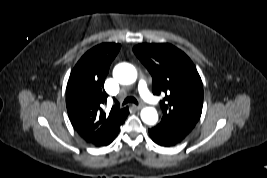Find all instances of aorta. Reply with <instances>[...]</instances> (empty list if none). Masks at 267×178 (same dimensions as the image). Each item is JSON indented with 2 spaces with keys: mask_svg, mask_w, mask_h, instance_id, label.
<instances>
[{
  "mask_svg": "<svg viewBox=\"0 0 267 178\" xmlns=\"http://www.w3.org/2000/svg\"><path fill=\"white\" fill-rule=\"evenodd\" d=\"M114 78L121 84L129 85L136 81L137 70L129 63H120L113 70ZM141 119L148 125H154L158 121V113L153 107H145L140 113Z\"/></svg>",
  "mask_w": 267,
  "mask_h": 178,
  "instance_id": "obj_1",
  "label": "aorta"
}]
</instances>
